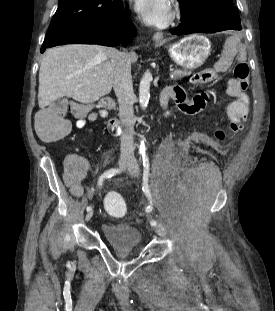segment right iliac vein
<instances>
[{
  "instance_id": "obj_1",
  "label": "right iliac vein",
  "mask_w": 275,
  "mask_h": 311,
  "mask_svg": "<svg viewBox=\"0 0 275 311\" xmlns=\"http://www.w3.org/2000/svg\"><path fill=\"white\" fill-rule=\"evenodd\" d=\"M131 164V159L129 158H121L119 161H118V167L120 169L122 168H125L127 166H129ZM93 216V210L89 211L85 217V220L86 221H89Z\"/></svg>"
}]
</instances>
